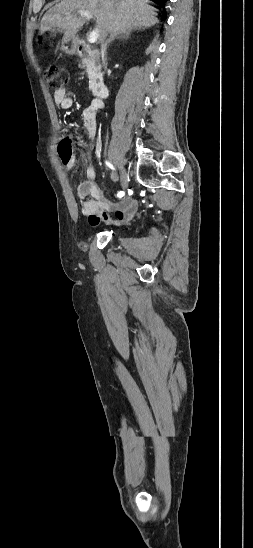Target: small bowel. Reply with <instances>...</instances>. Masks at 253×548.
I'll return each instance as SVG.
<instances>
[{
    "label": "small bowel",
    "instance_id": "c3829d8e",
    "mask_svg": "<svg viewBox=\"0 0 253 548\" xmlns=\"http://www.w3.org/2000/svg\"><path fill=\"white\" fill-rule=\"evenodd\" d=\"M54 101L56 105L63 110H67L73 105V99L67 94L65 89H60L54 93ZM102 108V101L94 99L91 106L84 113L87 147L81 155L80 160L82 162H86L91 155L98 134L97 113ZM61 159L64 167L68 170L72 169L76 163L71 158L65 160L61 157ZM86 177L87 180L80 183L77 187V194L81 199V210L83 214L89 216L91 225H98L100 221H104L108 225L120 224L133 218L138 210L137 200L128 197L118 203H112L104 197L103 192L96 181L97 173L93 166L87 167ZM109 212H115V217L112 218L108 214Z\"/></svg>",
    "mask_w": 253,
    "mask_h": 548
}]
</instances>
